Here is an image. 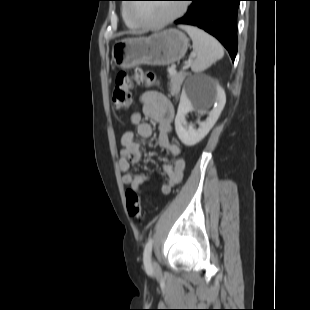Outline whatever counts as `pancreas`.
<instances>
[{
  "label": "pancreas",
  "instance_id": "1",
  "mask_svg": "<svg viewBox=\"0 0 310 310\" xmlns=\"http://www.w3.org/2000/svg\"><path fill=\"white\" fill-rule=\"evenodd\" d=\"M186 74L183 72H169V91L172 96H177L180 92L181 85L185 79Z\"/></svg>",
  "mask_w": 310,
  "mask_h": 310
}]
</instances>
